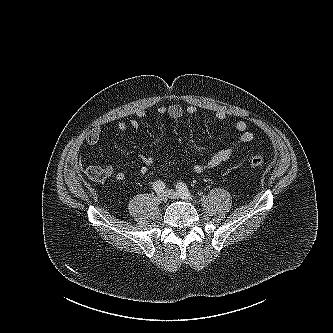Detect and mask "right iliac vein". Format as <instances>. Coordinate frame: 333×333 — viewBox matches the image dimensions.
Wrapping results in <instances>:
<instances>
[{"label":"right iliac vein","instance_id":"63e3f726","mask_svg":"<svg viewBox=\"0 0 333 333\" xmlns=\"http://www.w3.org/2000/svg\"><path fill=\"white\" fill-rule=\"evenodd\" d=\"M158 198L162 201V202H166L168 200V196L165 192H159L158 193Z\"/></svg>","mask_w":333,"mask_h":333}]
</instances>
